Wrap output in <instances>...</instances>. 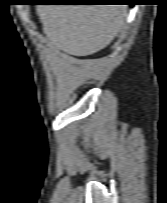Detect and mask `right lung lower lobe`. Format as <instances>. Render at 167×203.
Instances as JSON below:
<instances>
[{
  "instance_id": "98d812e1",
  "label": "right lung lower lobe",
  "mask_w": 167,
  "mask_h": 203,
  "mask_svg": "<svg viewBox=\"0 0 167 203\" xmlns=\"http://www.w3.org/2000/svg\"><path fill=\"white\" fill-rule=\"evenodd\" d=\"M109 1V0H108ZM111 1V0H110ZM103 3H113V2H103Z\"/></svg>"
}]
</instances>
